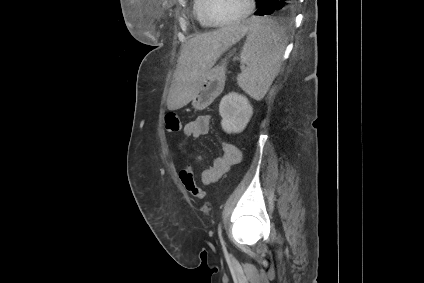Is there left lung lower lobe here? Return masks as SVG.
<instances>
[{
  "mask_svg": "<svg viewBox=\"0 0 424 283\" xmlns=\"http://www.w3.org/2000/svg\"><path fill=\"white\" fill-rule=\"evenodd\" d=\"M257 11L254 15L264 16L279 10L293 9L297 0H255Z\"/></svg>",
  "mask_w": 424,
  "mask_h": 283,
  "instance_id": "left-lung-lower-lobe-1",
  "label": "left lung lower lobe"
}]
</instances>
